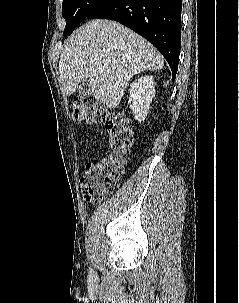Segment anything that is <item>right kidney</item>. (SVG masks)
<instances>
[{
	"label": "right kidney",
	"instance_id": "right-kidney-1",
	"mask_svg": "<svg viewBox=\"0 0 239 303\" xmlns=\"http://www.w3.org/2000/svg\"><path fill=\"white\" fill-rule=\"evenodd\" d=\"M129 95L130 109L135 119L141 122L146 118L152 99L155 97L153 77L145 76L132 82Z\"/></svg>",
	"mask_w": 239,
	"mask_h": 303
}]
</instances>
